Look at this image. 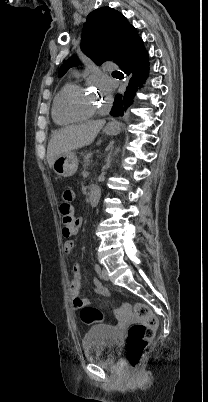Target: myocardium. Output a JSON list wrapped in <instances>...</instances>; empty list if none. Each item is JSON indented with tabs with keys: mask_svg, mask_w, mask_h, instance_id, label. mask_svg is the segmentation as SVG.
<instances>
[{
	"mask_svg": "<svg viewBox=\"0 0 208 402\" xmlns=\"http://www.w3.org/2000/svg\"><path fill=\"white\" fill-rule=\"evenodd\" d=\"M83 91H85L83 86L75 85L64 96L63 107L65 111L73 117L89 118L94 115L99 109V104L95 105V107L87 111L81 110L75 105L76 96Z\"/></svg>",
	"mask_w": 208,
	"mask_h": 402,
	"instance_id": "f54148a6",
	"label": "myocardium"
}]
</instances>
